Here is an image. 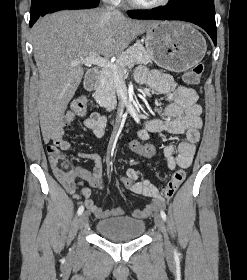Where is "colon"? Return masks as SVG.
<instances>
[{
	"mask_svg": "<svg viewBox=\"0 0 247 280\" xmlns=\"http://www.w3.org/2000/svg\"><path fill=\"white\" fill-rule=\"evenodd\" d=\"M203 73V65L197 64L190 68L183 75V80L186 84L196 85L200 82ZM71 111L73 114L82 116L87 112V103L84 98H76L71 103ZM129 148L136 154L146 158H153L157 154V149L153 143H148L146 139H139L138 136H131L129 139ZM47 153L53 172L60 179H71L74 175V166L66 158L56 146L49 145ZM186 172L184 170L175 171L167 185L163 189V194L166 198H172L177 192L183 181L185 180ZM118 183L124 188H131L133 181L127 176H120Z\"/></svg>",
	"mask_w": 247,
	"mask_h": 280,
	"instance_id": "colon-1",
	"label": "colon"
}]
</instances>
